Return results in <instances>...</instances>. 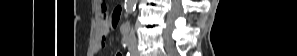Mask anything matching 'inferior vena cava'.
Returning <instances> with one entry per match:
<instances>
[{
    "label": "inferior vena cava",
    "instance_id": "obj_1",
    "mask_svg": "<svg viewBox=\"0 0 297 56\" xmlns=\"http://www.w3.org/2000/svg\"><path fill=\"white\" fill-rule=\"evenodd\" d=\"M132 39H135L134 31H131Z\"/></svg>",
    "mask_w": 297,
    "mask_h": 56
}]
</instances>
